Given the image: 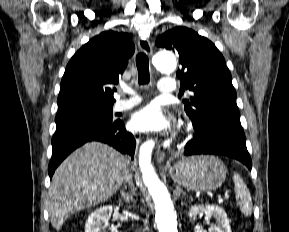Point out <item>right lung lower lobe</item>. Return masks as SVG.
<instances>
[{
	"mask_svg": "<svg viewBox=\"0 0 289 232\" xmlns=\"http://www.w3.org/2000/svg\"><path fill=\"white\" fill-rule=\"evenodd\" d=\"M88 141L107 143L122 154L134 155L135 137L126 131L122 121L112 123L74 122L57 125L52 138V158L48 166L52 177L58 165L76 148Z\"/></svg>",
	"mask_w": 289,
	"mask_h": 232,
	"instance_id": "obj_1",
	"label": "right lung lower lobe"
}]
</instances>
